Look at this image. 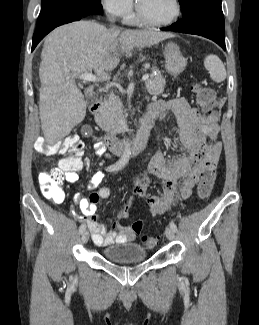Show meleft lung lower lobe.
I'll return each instance as SVG.
<instances>
[{
    "label": "left lung lower lobe",
    "mask_w": 259,
    "mask_h": 325,
    "mask_svg": "<svg viewBox=\"0 0 259 325\" xmlns=\"http://www.w3.org/2000/svg\"><path fill=\"white\" fill-rule=\"evenodd\" d=\"M164 31L195 34L209 38L225 50L224 17L221 6L197 3L189 14L182 17Z\"/></svg>",
    "instance_id": "0a47b994"
}]
</instances>
